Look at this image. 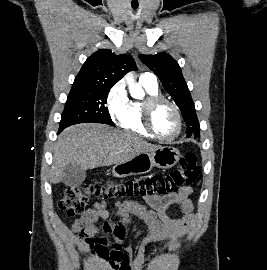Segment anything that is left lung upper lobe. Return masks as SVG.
I'll use <instances>...</instances> for the list:
<instances>
[{
  "label": "left lung upper lobe",
  "mask_w": 267,
  "mask_h": 270,
  "mask_svg": "<svg viewBox=\"0 0 267 270\" xmlns=\"http://www.w3.org/2000/svg\"><path fill=\"white\" fill-rule=\"evenodd\" d=\"M139 59L158 76L165 90L172 96L181 110L187 125V137L198 136L200 132L199 121L178 63L166 53L156 55L140 54Z\"/></svg>",
  "instance_id": "obj_1"
}]
</instances>
